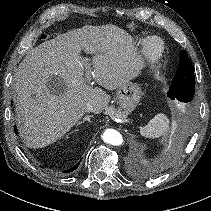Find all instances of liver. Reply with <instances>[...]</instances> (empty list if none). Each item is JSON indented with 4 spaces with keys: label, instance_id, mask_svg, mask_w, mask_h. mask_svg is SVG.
Listing matches in <instances>:
<instances>
[{
    "label": "liver",
    "instance_id": "6515ba94",
    "mask_svg": "<svg viewBox=\"0 0 211 211\" xmlns=\"http://www.w3.org/2000/svg\"><path fill=\"white\" fill-rule=\"evenodd\" d=\"M81 50L92 55L81 58ZM139 56L125 32L111 26H84L58 35L28 52L14 74L15 113L19 134L29 148L48 146L84 115L87 103L101 113L110 96L87 84L86 74L103 88L115 90L136 76ZM63 81L59 94L49 78Z\"/></svg>",
    "mask_w": 211,
    "mask_h": 211
}]
</instances>
